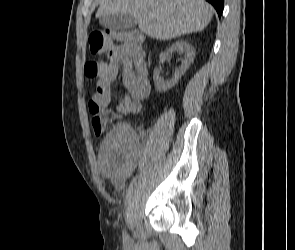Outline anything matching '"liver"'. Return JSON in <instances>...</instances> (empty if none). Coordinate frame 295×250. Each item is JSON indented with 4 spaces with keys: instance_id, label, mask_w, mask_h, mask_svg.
Returning <instances> with one entry per match:
<instances>
[{
    "instance_id": "obj_1",
    "label": "liver",
    "mask_w": 295,
    "mask_h": 250,
    "mask_svg": "<svg viewBox=\"0 0 295 250\" xmlns=\"http://www.w3.org/2000/svg\"><path fill=\"white\" fill-rule=\"evenodd\" d=\"M131 15L139 30L156 40H168L204 30L213 8L204 0H100L97 18Z\"/></svg>"
}]
</instances>
